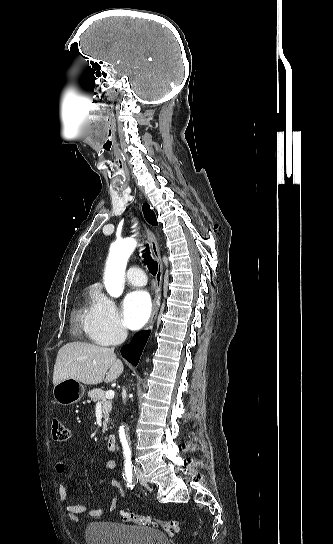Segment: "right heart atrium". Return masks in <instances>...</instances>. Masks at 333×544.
I'll return each mask as SVG.
<instances>
[{
    "mask_svg": "<svg viewBox=\"0 0 333 544\" xmlns=\"http://www.w3.org/2000/svg\"><path fill=\"white\" fill-rule=\"evenodd\" d=\"M86 334L97 344L108 346L123 341L127 330L115 302L97 293L84 319Z\"/></svg>",
    "mask_w": 333,
    "mask_h": 544,
    "instance_id": "1",
    "label": "right heart atrium"
}]
</instances>
